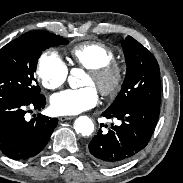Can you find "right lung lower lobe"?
Wrapping results in <instances>:
<instances>
[{"mask_svg":"<svg viewBox=\"0 0 183 183\" xmlns=\"http://www.w3.org/2000/svg\"><path fill=\"white\" fill-rule=\"evenodd\" d=\"M45 104V97L41 94L0 97V151L4 155L14 160H25L45 147L58 119L41 114L29 122L24 118L28 112L26 108L40 111Z\"/></svg>","mask_w":183,"mask_h":183,"instance_id":"obj_1","label":"right lung lower lobe"}]
</instances>
